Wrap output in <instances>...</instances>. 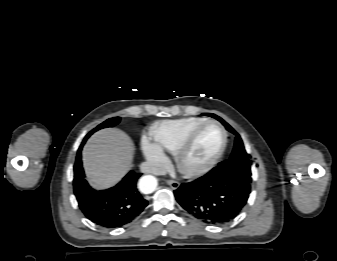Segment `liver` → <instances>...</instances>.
Here are the masks:
<instances>
[{
    "mask_svg": "<svg viewBox=\"0 0 337 261\" xmlns=\"http://www.w3.org/2000/svg\"><path fill=\"white\" fill-rule=\"evenodd\" d=\"M133 152L130 137L119 129L108 128L93 134L82 152L91 185L98 189L115 185L130 169Z\"/></svg>",
    "mask_w": 337,
    "mask_h": 261,
    "instance_id": "liver-1",
    "label": "liver"
}]
</instances>
